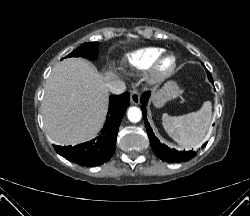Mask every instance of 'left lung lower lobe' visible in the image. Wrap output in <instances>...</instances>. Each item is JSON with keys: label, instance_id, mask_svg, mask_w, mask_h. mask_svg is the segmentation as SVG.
Returning a JSON list of instances; mask_svg holds the SVG:
<instances>
[{"label": "left lung lower lobe", "instance_id": "left-lung-lower-lobe-1", "mask_svg": "<svg viewBox=\"0 0 250 216\" xmlns=\"http://www.w3.org/2000/svg\"><path fill=\"white\" fill-rule=\"evenodd\" d=\"M207 71V75L209 78V81L213 83V78L210 74V72L206 69ZM149 96H150V92H145L142 96H141V103H142V111H143V116H144V121H145V126H146V130L149 136V140H150V144L151 147L154 151V153L156 154L157 157H159L161 160L163 161H167L170 163L173 162H182V161H188L191 158H193L194 156H196V152L194 151H177L175 149H170L168 148L166 145L161 144L160 141L158 140V138L154 135V133L152 132V129L147 121L146 118V105L147 102L149 100ZM206 145V143L203 145V147Z\"/></svg>", "mask_w": 250, "mask_h": 216}]
</instances>
